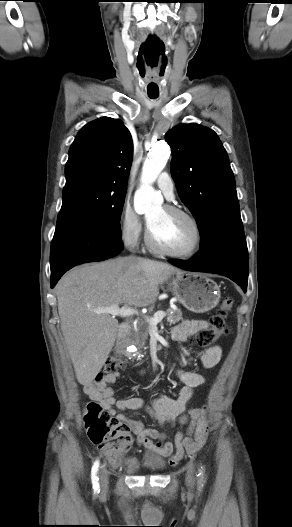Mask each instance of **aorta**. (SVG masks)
I'll return each instance as SVG.
<instances>
[{
	"mask_svg": "<svg viewBox=\"0 0 292 527\" xmlns=\"http://www.w3.org/2000/svg\"><path fill=\"white\" fill-rule=\"evenodd\" d=\"M170 156V148L165 142L152 146L144 161L140 188L134 195V209L138 214L148 213L162 202V196L152 187L162 172Z\"/></svg>",
	"mask_w": 292,
	"mask_h": 527,
	"instance_id": "1",
	"label": "aorta"
}]
</instances>
